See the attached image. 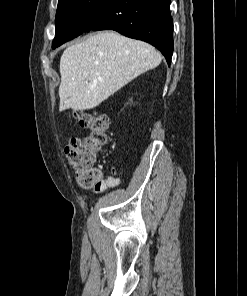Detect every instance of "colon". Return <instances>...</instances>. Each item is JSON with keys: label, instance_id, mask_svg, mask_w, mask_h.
Wrapping results in <instances>:
<instances>
[{"label": "colon", "instance_id": "5ec220e1", "mask_svg": "<svg viewBox=\"0 0 247 296\" xmlns=\"http://www.w3.org/2000/svg\"><path fill=\"white\" fill-rule=\"evenodd\" d=\"M74 119L89 133L73 138L66 147V156L72 165L78 184L92 188L103 182V172L96 165L99 152L107 143L108 119L97 112H77Z\"/></svg>", "mask_w": 247, "mask_h": 296}]
</instances>
